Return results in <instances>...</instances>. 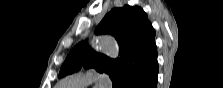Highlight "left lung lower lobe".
<instances>
[{"instance_id": "left-lung-lower-lobe-1", "label": "left lung lower lobe", "mask_w": 223, "mask_h": 88, "mask_svg": "<svg viewBox=\"0 0 223 88\" xmlns=\"http://www.w3.org/2000/svg\"><path fill=\"white\" fill-rule=\"evenodd\" d=\"M158 75L157 58L140 74L131 76L119 88H156Z\"/></svg>"}]
</instances>
